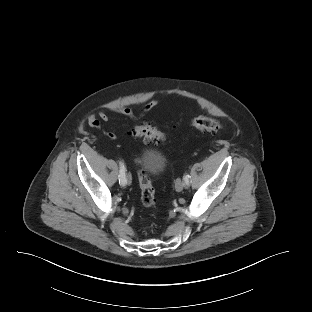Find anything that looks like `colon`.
<instances>
[{
	"mask_svg": "<svg viewBox=\"0 0 312 312\" xmlns=\"http://www.w3.org/2000/svg\"><path fill=\"white\" fill-rule=\"evenodd\" d=\"M191 125L193 128L210 133H217L223 130V123L213 117L203 116L192 120ZM132 134L135 137L143 138L147 143H154L164 140L166 135L157 128L143 123L136 125ZM139 185L141 189V202L147 208H153L156 205L155 191L152 182L144 171H139L138 174Z\"/></svg>",
	"mask_w": 312,
	"mask_h": 312,
	"instance_id": "obj_1",
	"label": "colon"
}]
</instances>
